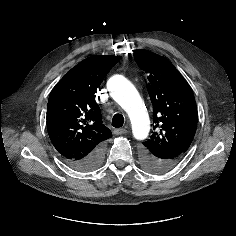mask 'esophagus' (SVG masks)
<instances>
[{
    "label": "esophagus",
    "mask_w": 236,
    "mask_h": 236,
    "mask_svg": "<svg viewBox=\"0 0 236 236\" xmlns=\"http://www.w3.org/2000/svg\"><path fill=\"white\" fill-rule=\"evenodd\" d=\"M126 132H127V130H126V129H123V128L114 129V131H113V133H114L115 135H123V134H125Z\"/></svg>",
    "instance_id": "esophagus-1"
}]
</instances>
